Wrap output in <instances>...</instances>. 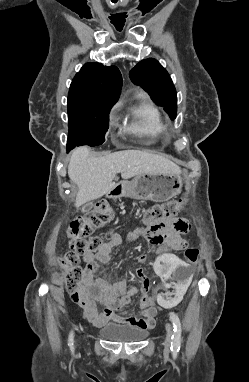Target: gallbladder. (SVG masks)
<instances>
[{
    "label": "gallbladder",
    "instance_id": "bac80fb5",
    "mask_svg": "<svg viewBox=\"0 0 249 382\" xmlns=\"http://www.w3.org/2000/svg\"><path fill=\"white\" fill-rule=\"evenodd\" d=\"M93 203L92 202H87L82 206V212H88L92 209Z\"/></svg>",
    "mask_w": 249,
    "mask_h": 382
}]
</instances>
